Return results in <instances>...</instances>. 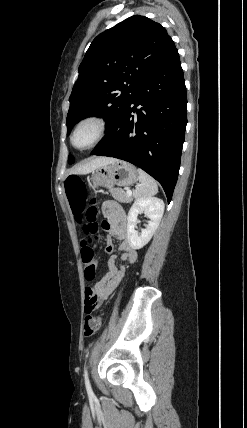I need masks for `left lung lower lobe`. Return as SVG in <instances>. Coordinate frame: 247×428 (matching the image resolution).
<instances>
[{
  "label": "left lung lower lobe",
  "instance_id": "1",
  "mask_svg": "<svg viewBox=\"0 0 247 428\" xmlns=\"http://www.w3.org/2000/svg\"><path fill=\"white\" fill-rule=\"evenodd\" d=\"M186 115V87L175 49L137 87L93 154L140 167L162 185L169 203L178 179Z\"/></svg>",
  "mask_w": 247,
  "mask_h": 428
}]
</instances>
